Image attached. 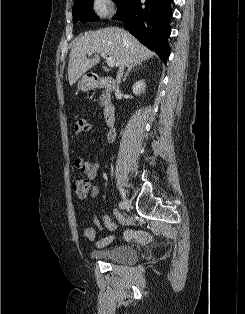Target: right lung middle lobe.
Instances as JSON below:
<instances>
[{
	"instance_id": "obj_1",
	"label": "right lung middle lobe",
	"mask_w": 245,
	"mask_h": 314,
	"mask_svg": "<svg viewBox=\"0 0 245 314\" xmlns=\"http://www.w3.org/2000/svg\"><path fill=\"white\" fill-rule=\"evenodd\" d=\"M129 0H116L118 10H120ZM93 0H77L72 8L73 22L78 20L82 22L98 20V16L92 8Z\"/></svg>"
}]
</instances>
